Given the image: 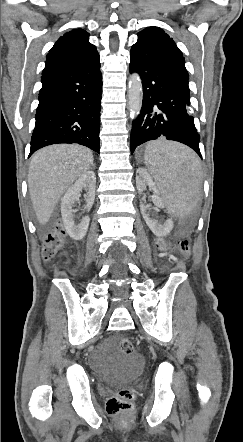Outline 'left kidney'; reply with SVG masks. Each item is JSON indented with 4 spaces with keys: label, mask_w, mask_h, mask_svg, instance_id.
<instances>
[{
    "label": "left kidney",
    "mask_w": 243,
    "mask_h": 442,
    "mask_svg": "<svg viewBox=\"0 0 243 442\" xmlns=\"http://www.w3.org/2000/svg\"><path fill=\"white\" fill-rule=\"evenodd\" d=\"M137 173L138 175L136 176V186L139 193H142L146 186L155 188V183L153 182L151 176L148 174L147 170L139 168L137 170ZM152 201L156 206L161 208H164V205H168V202H166L159 195H153ZM150 207L151 206L149 204H143L142 202L140 204L141 214L153 234L159 236L162 233H170L174 226L172 217L167 219L164 224H160L157 222V220L150 216Z\"/></svg>",
    "instance_id": "1"
}]
</instances>
